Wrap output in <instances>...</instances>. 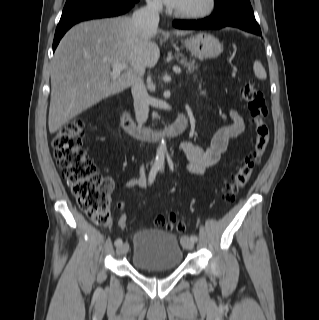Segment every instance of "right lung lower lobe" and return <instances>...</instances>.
I'll list each match as a JSON object with an SVG mask.
<instances>
[{"label":"right lung lower lobe","mask_w":319,"mask_h":320,"mask_svg":"<svg viewBox=\"0 0 319 320\" xmlns=\"http://www.w3.org/2000/svg\"><path fill=\"white\" fill-rule=\"evenodd\" d=\"M138 1L139 0H101L62 15L56 28L53 51L56 49L65 32L74 24L85 20L117 16L126 13Z\"/></svg>","instance_id":"98d812e1"}]
</instances>
